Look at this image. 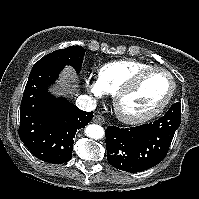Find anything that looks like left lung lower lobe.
<instances>
[{
  "mask_svg": "<svg viewBox=\"0 0 199 199\" xmlns=\"http://www.w3.org/2000/svg\"><path fill=\"white\" fill-rule=\"evenodd\" d=\"M180 123L181 103L177 102L154 122L131 128L109 126L105 134L108 162L126 172L154 167L166 156Z\"/></svg>",
  "mask_w": 199,
  "mask_h": 199,
  "instance_id": "0a47b994",
  "label": "left lung lower lobe"
}]
</instances>
